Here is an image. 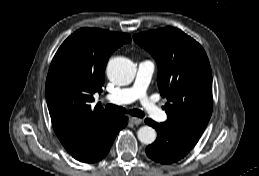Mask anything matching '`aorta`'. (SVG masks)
I'll return each mask as SVG.
<instances>
[{
    "label": "aorta",
    "mask_w": 259,
    "mask_h": 176,
    "mask_svg": "<svg viewBox=\"0 0 259 176\" xmlns=\"http://www.w3.org/2000/svg\"><path fill=\"white\" fill-rule=\"evenodd\" d=\"M136 69L131 60L125 57L111 59L107 66V76L110 81L118 85H127L135 77ZM139 141L143 144H152L157 137L155 129L150 126H143L137 132Z\"/></svg>",
    "instance_id": "1"
}]
</instances>
